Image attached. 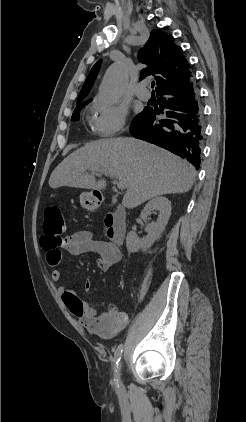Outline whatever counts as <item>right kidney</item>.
I'll list each match as a JSON object with an SVG mask.
<instances>
[{
	"label": "right kidney",
	"mask_w": 246,
	"mask_h": 422,
	"mask_svg": "<svg viewBox=\"0 0 246 422\" xmlns=\"http://www.w3.org/2000/svg\"><path fill=\"white\" fill-rule=\"evenodd\" d=\"M154 210L158 211L159 215L156 222L149 223L146 226V237L139 239L134 231H130L127 234L126 247L130 253H135L140 249L143 251L147 250L160 238L161 233L164 231L171 215V202L166 197L153 198L145 205L140 217L147 219Z\"/></svg>",
	"instance_id": "ca27d5eb"
}]
</instances>
